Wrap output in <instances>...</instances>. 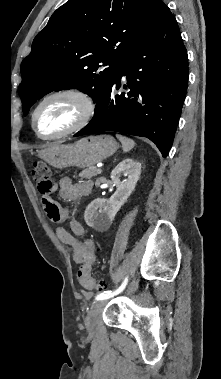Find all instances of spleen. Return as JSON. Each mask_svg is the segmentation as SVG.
Returning a JSON list of instances; mask_svg holds the SVG:
<instances>
[{"label": "spleen", "mask_w": 221, "mask_h": 379, "mask_svg": "<svg viewBox=\"0 0 221 379\" xmlns=\"http://www.w3.org/2000/svg\"><path fill=\"white\" fill-rule=\"evenodd\" d=\"M116 137L121 142L123 150L125 152L130 151L135 146V142L132 139H129V138L122 136L120 134H117Z\"/></svg>", "instance_id": "1"}]
</instances>
